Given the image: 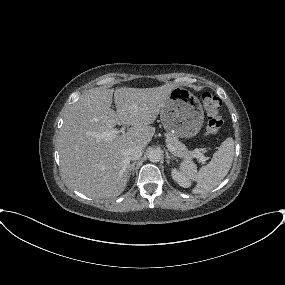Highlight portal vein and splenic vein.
<instances>
[{"label": "portal vein and splenic vein", "instance_id": "18ae733b", "mask_svg": "<svg viewBox=\"0 0 285 285\" xmlns=\"http://www.w3.org/2000/svg\"><path fill=\"white\" fill-rule=\"evenodd\" d=\"M119 132L120 131H118L117 129H111V130H108V131L101 133L99 135V137H101L105 140H113L114 138H116L118 136ZM167 148L171 152L175 151V148L169 144L167 145ZM192 153L194 154V156L199 157L202 163H205L206 157L200 152L199 149L193 150Z\"/></svg>", "mask_w": 285, "mask_h": 285}]
</instances>
